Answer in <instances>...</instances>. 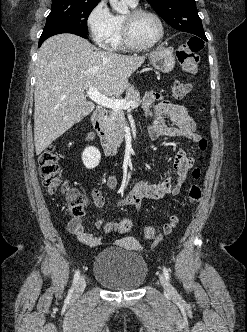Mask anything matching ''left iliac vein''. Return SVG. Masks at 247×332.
I'll list each match as a JSON object with an SVG mask.
<instances>
[{
    "instance_id": "1",
    "label": "left iliac vein",
    "mask_w": 247,
    "mask_h": 332,
    "mask_svg": "<svg viewBox=\"0 0 247 332\" xmlns=\"http://www.w3.org/2000/svg\"><path fill=\"white\" fill-rule=\"evenodd\" d=\"M159 280L160 283L164 289V291L168 294V295H173L175 293V289L173 288V286L166 280V278L164 277L163 274L159 275Z\"/></svg>"
}]
</instances>
